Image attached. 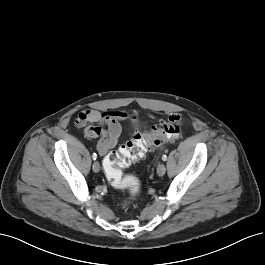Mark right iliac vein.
<instances>
[{
  "instance_id": "63e3f726",
  "label": "right iliac vein",
  "mask_w": 265,
  "mask_h": 265,
  "mask_svg": "<svg viewBox=\"0 0 265 265\" xmlns=\"http://www.w3.org/2000/svg\"><path fill=\"white\" fill-rule=\"evenodd\" d=\"M92 168H93V171L94 172H99L100 171V164H99V162L98 161H95L94 163H93V166H92Z\"/></svg>"
}]
</instances>
